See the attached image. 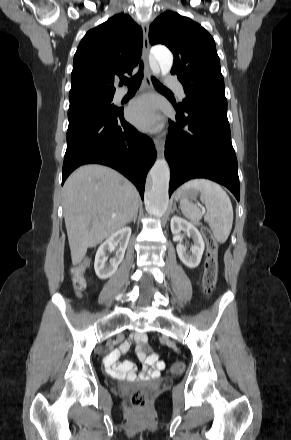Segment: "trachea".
Wrapping results in <instances>:
<instances>
[{"mask_svg":"<svg viewBox=\"0 0 291 440\" xmlns=\"http://www.w3.org/2000/svg\"><path fill=\"white\" fill-rule=\"evenodd\" d=\"M142 79H143V63L141 62L138 73L131 79H125L122 80V82L125 85H127L128 88H138L141 84ZM152 82L155 87L165 89V87L154 77L152 78Z\"/></svg>","mask_w":291,"mask_h":440,"instance_id":"3493384b","label":"trachea"}]
</instances>
